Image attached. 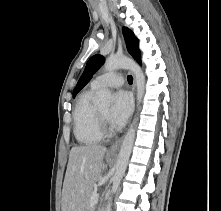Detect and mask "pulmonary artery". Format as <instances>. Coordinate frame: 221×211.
I'll return each instance as SVG.
<instances>
[{
    "instance_id": "obj_1",
    "label": "pulmonary artery",
    "mask_w": 221,
    "mask_h": 211,
    "mask_svg": "<svg viewBox=\"0 0 221 211\" xmlns=\"http://www.w3.org/2000/svg\"><path fill=\"white\" fill-rule=\"evenodd\" d=\"M124 83V78L119 73H106L97 76L93 81L92 85L96 88L103 87H119Z\"/></svg>"
}]
</instances>
